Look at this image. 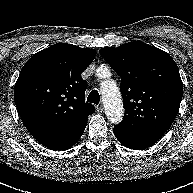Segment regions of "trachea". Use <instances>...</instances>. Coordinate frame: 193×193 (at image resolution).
I'll list each match as a JSON object with an SVG mask.
<instances>
[{"mask_svg":"<svg viewBox=\"0 0 193 193\" xmlns=\"http://www.w3.org/2000/svg\"><path fill=\"white\" fill-rule=\"evenodd\" d=\"M87 102L98 105L100 102V95L97 90H92L87 97Z\"/></svg>","mask_w":193,"mask_h":193,"instance_id":"obj_1","label":"trachea"}]
</instances>
